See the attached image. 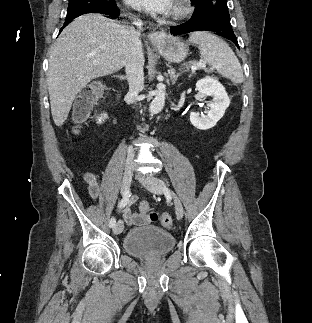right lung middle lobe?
Returning <instances> with one entry per match:
<instances>
[{
  "instance_id": "1",
  "label": "right lung middle lobe",
  "mask_w": 312,
  "mask_h": 323,
  "mask_svg": "<svg viewBox=\"0 0 312 323\" xmlns=\"http://www.w3.org/2000/svg\"><path fill=\"white\" fill-rule=\"evenodd\" d=\"M115 0H69L67 16L82 10L95 8H116Z\"/></svg>"
}]
</instances>
